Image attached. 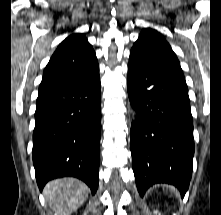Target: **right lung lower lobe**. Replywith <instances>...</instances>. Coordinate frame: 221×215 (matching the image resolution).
<instances>
[{"label": "right lung lower lobe", "instance_id": "98d812e1", "mask_svg": "<svg viewBox=\"0 0 221 215\" xmlns=\"http://www.w3.org/2000/svg\"><path fill=\"white\" fill-rule=\"evenodd\" d=\"M99 70L82 81L37 99L33 164L38 187L72 176L95 194L99 182L101 90Z\"/></svg>", "mask_w": 221, "mask_h": 215}]
</instances>
